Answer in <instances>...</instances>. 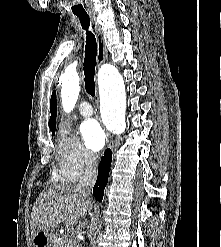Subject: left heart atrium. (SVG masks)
I'll return each instance as SVG.
<instances>
[{"mask_svg":"<svg viewBox=\"0 0 221 247\" xmlns=\"http://www.w3.org/2000/svg\"><path fill=\"white\" fill-rule=\"evenodd\" d=\"M80 133L85 145L92 151L100 150L105 144V133L95 119L85 120L80 125Z\"/></svg>","mask_w":221,"mask_h":247,"instance_id":"39dd6f15","label":"left heart atrium"}]
</instances>
